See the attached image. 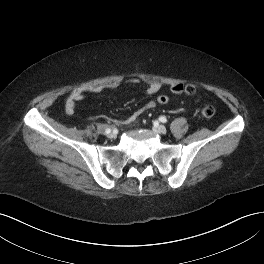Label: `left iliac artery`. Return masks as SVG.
<instances>
[{
  "mask_svg": "<svg viewBox=\"0 0 264 264\" xmlns=\"http://www.w3.org/2000/svg\"><path fill=\"white\" fill-rule=\"evenodd\" d=\"M159 120H160L162 123H166V122H167V119H166V117H164V116H161V117L159 118Z\"/></svg>",
  "mask_w": 264,
  "mask_h": 264,
  "instance_id": "obj_1",
  "label": "left iliac artery"
}]
</instances>
